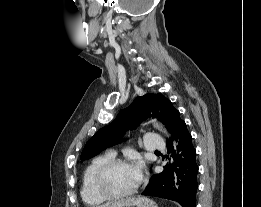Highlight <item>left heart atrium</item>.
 Here are the masks:
<instances>
[{"instance_id":"obj_1","label":"left heart atrium","mask_w":261,"mask_h":207,"mask_svg":"<svg viewBox=\"0 0 261 207\" xmlns=\"http://www.w3.org/2000/svg\"><path fill=\"white\" fill-rule=\"evenodd\" d=\"M141 163L140 162H138V163H136L133 167H134V169H135V172H136V174H137V178L139 179L140 178V174H141Z\"/></svg>"}]
</instances>
